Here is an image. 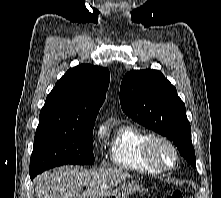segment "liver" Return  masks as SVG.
<instances>
[{
	"instance_id": "1",
	"label": "liver",
	"mask_w": 221,
	"mask_h": 198,
	"mask_svg": "<svg viewBox=\"0 0 221 198\" xmlns=\"http://www.w3.org/2000/svg\"><path fill=\"white\" fill-rule=\"evenodd\" d=\"M132 176L121 169H71L59 167L36 178L37 198H103ZM86 187V191H83ZM82 192V193H81Z\"/></svg>"
}]
</instances>
